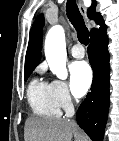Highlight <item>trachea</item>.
Returning <instances> with one entry per match:
<instances>
[{"instance_id": "1", "label": "trachea", "mask_w": 119, "mask_h": 141, "mask_svg": "<svg viewBox=\"0 0 119 141\" xmlns=\"http://www.w3.org/2000/svg\"><path fill=\"white\" fill-rule=\"evenodd\" d=\"M66 12L68 19L77 31L78 40L82 44L87 45L89 43L88 29L85 26L84 19L78 9L75 0H68L66 5Z\"/></svg>"}]
</instances>
